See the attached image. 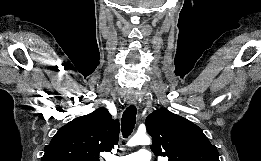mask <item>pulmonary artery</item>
Here are the masks:
<instances>
[{"label":"pulmonary artery","instance_id":"1","mask_svg":"<svg viewBox=\"0 0 261 161\" xmlns=\"http://www.w3.org/2000/svg\"><path fill=\"white\" fill-rule=\"evenodd\" d=\"M151 157L147 149H140L127 156H116L113 161H150Z\"/></svg>","mask_w":261,"mask_h":161}]
</instances>
